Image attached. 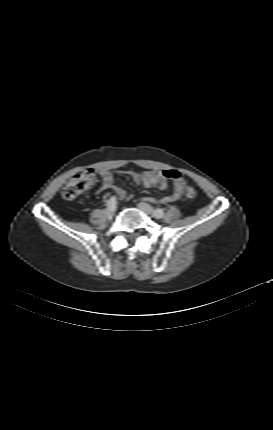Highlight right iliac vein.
Listing matches in <instances>:
<instances>
[{
	"instance_id": "1",
	"label": "right iliac vein",
	"mask_w": 273,
	"mask_h": 430,
	"mask_svg": "<svg viewBox=\"0 0 273 430\" xmlns=\"http://www.w3.org/2000/svg\"><path fill=\"white\" fill-rule=\"evenodd\" d=\"M106 212H107L108 215L112 216V215H114L115 210L108 208Z\"/></svg>"
}]
</instances>
